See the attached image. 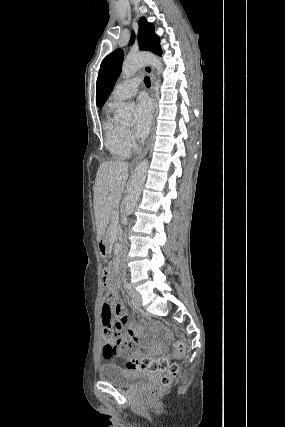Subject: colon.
Returning <instances> with one entry per match:
<instances>
[{"label": "colon", "mask_w": 285, "mask_h": 427, "mask_svg": "<svg viewBox=\"0 0 285 427\" xmlns=\"http://www.w3.org/2000/svg\"><path fill=\"white\" fill-rule=\"evenodd\" d=\"M103 284L106 288L104 293V304L108 305L114 298L113 292V275L110 269L102 270ZM105 345L103 347V357L111 359L117 352L121 343V331L118 325H106L102 332ZM185 345L182 341L175 342L171 345L166 357L157 359L151 358H130L127 365L130 369L145 370L152 373L160 374L158 383L150 390L151 399L156 398L164 393L172 385L173 379L177 376L179 368L177 364H170V359L180 358L183 356Z\"/></svg>", "instance_id": "obj_1"}]
</instances>
